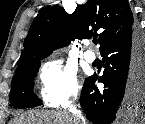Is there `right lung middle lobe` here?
Listing matches in <instances>:
<instances>
[{
	"label": "right lung middle lobe",
	"instance_id": "obj_1",
	"mask_svg": "<svg viewBox=\"0 0 145 124\" xmlns=\"http://www.w3.org/2000/svg\"><path fill=\"white\" fill-rule=\"evenodd\" d=\"M39 67L40 61H37L14 75L10 92V103L13 107L24 109L41 105V100L32 91Z\"/></svg>",
	"mask_w": 145,
	"mask_h": 124
}]
</instances>
